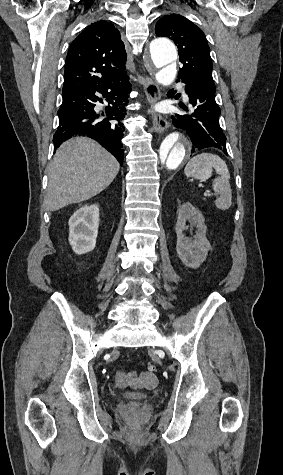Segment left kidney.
<instances>
[{
	"instance_id": "left-kidney-1",
	"label": "left kidney",
	"mask_w": 283,
	"mask_h": 475,
	"mask_svg": "<svg viewBox=\"0 0 283 475\" xmlns=\"http://www.w3.org/2000/svg\"><path fill=\"white\" fill-rule=\"evenodd\" d=\"M186 220H192L198 230L193 238H186L183 234L184 230H187ZM204 222L205 218H203L201 212L198 208H194L190 202L180 206L175 226L177 234L176 251L178 257L187 267H199L205 261L209 249H211V243L206 238L207 228Z\"/></svg>"
}]
</instances>
